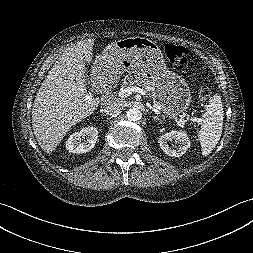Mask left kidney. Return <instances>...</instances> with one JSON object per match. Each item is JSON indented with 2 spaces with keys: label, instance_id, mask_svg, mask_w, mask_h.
Wrapping results in <instances>:
<instances>
[{
  "label": "left kidney",
  "instance_id": "obj_1",
  "mask_svg": "<svg viewBox=\"0 0 253 253\" xmlns=\"http://www.w3.org/2000/svg\"><path fill=\"white\" fill-rule=\"evenodd\" d=\"M172 140H174L178 145L176 149L169 147L167 143L168 141ZM159 145L163 152H165L168 156L180 157L185 154L190 147V140L184 131H171L163 134L159 138Z\"/></svg>",
  "mask_w": 253,
  "mask_h": 253
}]
</instances>
